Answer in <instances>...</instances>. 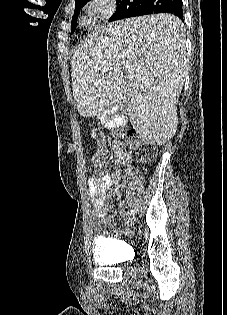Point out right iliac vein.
Returning a JSON list of instances; mask_svg holds the SVG:
<instances>
[{
  "label": "right iliac vein",
  "instance_id": "right-iliac-vein-1",
  "mask_svg": "<svg viewBox=\"0 0 227 315\" xmlns=\"http://www.w3.org/2000/svg\"><path fill=\"white\" fill-rule=\"evenodd\" d=\"M136 218L135 216L129 217L126 221H125V225L126 226H132V224L135 222Z\"/></svg>",
  "mask_w": 227,
  "mask_h": 315
}]
</instances>
